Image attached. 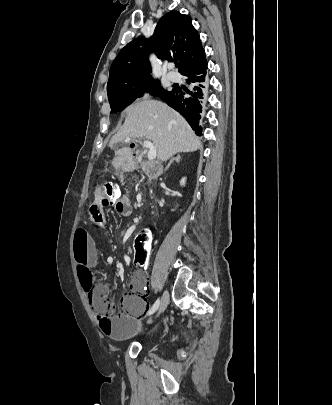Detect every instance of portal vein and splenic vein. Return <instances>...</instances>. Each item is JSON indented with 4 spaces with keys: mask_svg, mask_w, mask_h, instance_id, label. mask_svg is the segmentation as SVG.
I'll list each match as a JSON object with an SVG mask.
<instances>
[{
    "mask_svg": "<svg viewBox=\"0 0 332 405\" xmlns=\"http://www.w3.org/2000/svg\"><path fill=\"white\" fill-rule=\"evenodd\" d=\"M131 140H132L131 138H126L125 142H130ZM143 146L148 149V153H147L148 159L150 161H153L157 156V151H156V148L154 147V144L149 140H144Z\"/></svg>",
    "mask_w": 332,
    "mask_h": 405,
    "instance_id": "18ae733b",
    "label": "portal vein and splenic vein"
}]
</instances>
